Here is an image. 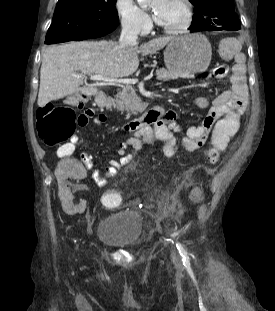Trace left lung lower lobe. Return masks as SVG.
I'll return each instance as SVG.
<instances>
[{"label": "left lung lower lobe", "instance_id": "1", "mask_svg": "<svg viewBox=\"0 0 275 311\" xmlns=\"http://www.w3.org/2000/svg\"><path fill=\"white\" fill-rule=\"evenodd\" d=\"M192 32H198V31H219L218 29H206V30H194L191 28Z\"/></svg>", "mask_w": 275, "mask_h": 311}]
</instances>
